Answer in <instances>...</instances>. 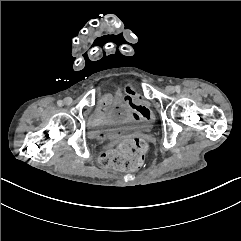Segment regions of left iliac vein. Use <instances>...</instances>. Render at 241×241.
Masks as SVG:
<instances>
[{
    "label": "left iliac vein",
    "mask_w": 241,
    "mask_h": 241,
    "mask_svg": "<svg viewBox=\"0 0 241 241\" xmlns=\"http://www.w3.org/2000/svg\"><path fill=\"white\" fill-rule=\"evenodd\" d=\"M174 90H175V88H174L172 85H168V86L166 87V91H167L168 93H173Z\"/></svg>",
    "instance_id": "1"
}]
</instances>
